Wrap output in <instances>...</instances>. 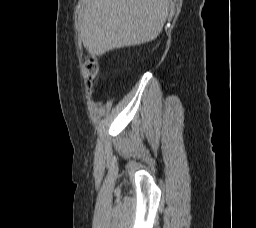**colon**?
<instances>
[{
	"instance_id": "colon-1",
	"label": "colon",
	"mask_w": 256,
	"mask_h": 228,
	"mask_svg": "<svg viewBox=\"0 0 256 228\" xmlns=\"http://www.w3.org/2000/svg\"><path fill=\"white\" fill-rule=\"evenodd\" d=\"M86 67H87L88 71L90 72V74H92V75H95L98 72L97 62L91 56L86 57Z\"/></svg>"
}]
</instances>
